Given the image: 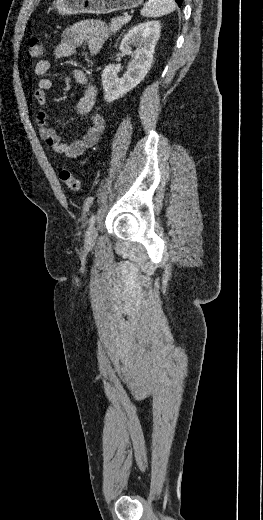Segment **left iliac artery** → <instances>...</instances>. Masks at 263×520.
Returning a JSON list of instances; mask_svg holds the SVG:
<instances>
[{
	"label": "left iliac artery",
	"instance_id": "left-iliac-artery-1",
	"mask_svg": "<svg viewBox=\"0 0 263 520\" xmlns=\"http://www.w3.org/2000/svg\"><path fill=\"white\" fill-rule=\"evenodd\" d=\"M95 219H96L95 215L92 214V216H91L90 219H89V225H90V227H92V226L94 225V223H95Z\"/></svg>",
	"mask_w": 263,
	"mask_h": 520
}]
</instances>
